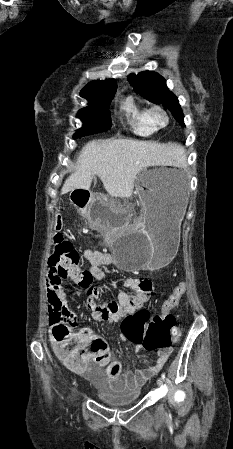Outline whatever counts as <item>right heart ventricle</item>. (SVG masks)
Returning <instances> with one entry per match:
<instances>
[{"mask_svg":"<svg viewBox=\"0 0 233 449\" xmlns=\"http://www.w3.org/2000/svg\"><path fill=\"white\" fill-rule=\"evenodd\" d=\"M132 132L138 136L147 137L155 133L157 128L150 122L147 106L135 96H126L120 104Z\"/></svg>","mask_w":233,"mask_h":449,"instance_id":"obj_1","label":"right heart ventricle"}]
</instances>
